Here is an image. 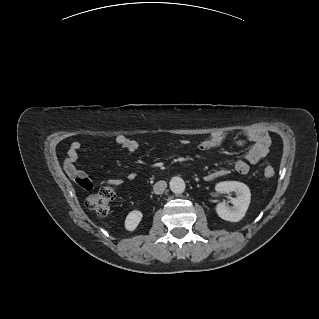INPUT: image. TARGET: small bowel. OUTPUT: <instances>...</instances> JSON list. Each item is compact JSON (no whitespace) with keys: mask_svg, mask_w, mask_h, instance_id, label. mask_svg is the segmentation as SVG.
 I'll return each instance as SVG.
<instances>
[{"mask_svg":"<svg viewBox=\"0 0 319 319\" xmlns=\"http://www.w3.org/2000/svg\"><path fill=\"white\" fill-rule=\"evenodd\" d=\"M230 137V133L227 132H218L211 134L208 138L203 140L198 145V149L201 152H209L217 147H219L222 143H224ZM247 141L251 142L252 145L246 151L244 157L242 159L237 160L234 163V170L239 174H246L249 172L250 167L252 165L257 164L260 162L268 153V146L270 144V137L265 132H251L246 133L242 137H238L235 139V143L238 146L244 145ZM116 143L120 147L126 149L129 152H134L138 149V143L135 140H132L124 135H118L116 137ZM182 144H187L186 140L182 141ZM81 145L79 142H73L71 146V151L69 154V159L71 162H75L77 159V154L80 149ZM73 167L71 166V169ZM228 174V170L219 168L209 171L205 176L204 179L206 181H213L219 179ZM73 178L77 182L81 179H87V175L83 172L73 171L72 172ZM135 174L129 173L128 178L134 179ZM105 184L110 186L119 187L124 184V181L120 178H113L107 179L104 181Z\"/></svg>","mask_w":319,"mask_h":319,"instance_id":"c3829d8e","label":"small bowel"}]
</instances>
